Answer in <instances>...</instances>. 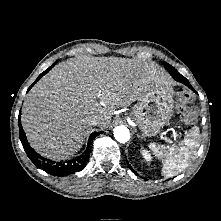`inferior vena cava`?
<instances>
[{"mask_svg":"<svg viewBox=\"0 0 221 221\" xmlns=\"http://www.w3.org/2000/svg\"><path fill=\"white\" fill-rule=\"evenodd\" d=\"M99 124H100V119L97 117H94L88 121L89 126H97Z\"/></svg>","mask_w":221,"mask_h":221,"instance_id":"602c4592","label":"inferior vena cava"}]
</instances>
